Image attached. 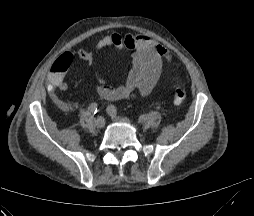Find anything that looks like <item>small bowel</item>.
Returning <instances> with one entry per match:
<instances>
[{
	"label": "small bowel",
	"mask_w": 254,
	"mask_h": 216,
	"mask_svg": "<svg viewBox=\"0 0 254 216\" xmlns=\"http://www.w3.org/2000/svg\"><path fill=\"white\" fill-rule=\"evenodd\" d=\"M108 47L126 49L131 51V68L125 82L119 86L108 85L95 69L93 52L89 50H69L65 52L60 61L69 66L77 58L87 62L98 81L96 94L105 100L116 101L125 98L147 96L159 83L162 77L164 60H170L169 51L146 35H132L112 33L103 36L95 45V50L100 51ZM65 71L52 70L48 75V84L52 99L58 100L55 89L66 91L68 83L65 81Z\"/></svg>",
	"instance_id": "1"
}]
</instances>
